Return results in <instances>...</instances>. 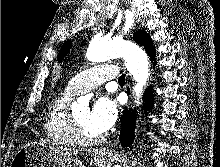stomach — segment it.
I'll return each mask as SVG.
<instances>
[{
    "instance_id": "1",
    "label": "stomach",
    "mask_w": 220,
    "mask_h": 167,
    "mask_svg": "<svg viewBox=\"0 0 220 167\" xmlns=\"http://www.w3.org/2000/svg\"><path fill=\"white\" fill-rule=\"evenodd\" d=\"M115 156L99 154L95 159L96 167H112ZM11 167H84L73 157L59 158L49 148L27 144L19 149L11 162Z\"/></svg>"
}]
</instances>
